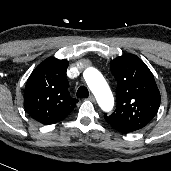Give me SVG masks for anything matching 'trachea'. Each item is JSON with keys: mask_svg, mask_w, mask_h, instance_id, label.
<instances>
[{"mask_svg": "<svg viewBox=\"0 0 171 171\" xmlns=\"http://www.w3.org/2000/svg\"><path fill=\"white\" fill-rule=\"evenodd\" d=\"M89 96V91L87 87L80 86L77 90V98H87Z\"/></svg>", "mask_w": 171, "mask_h": 171, "instance_id": "3493384b", "label": "trachea"}]
</instances>
